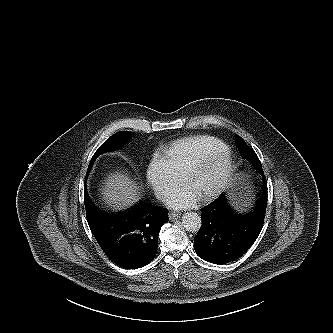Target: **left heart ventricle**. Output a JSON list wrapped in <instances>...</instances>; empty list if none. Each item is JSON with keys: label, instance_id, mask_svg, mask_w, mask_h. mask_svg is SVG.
Masks as SVG:
<instances>
[{"label": "left heart ventricle", "instance_id": "1", "mask_svg": "<svg viewBox=\"0 0 333 333\" xmlns=\"http://www.w3.org/2000/svg\"><path fill=\"white\" fill-rule=\"evenodd\" d=\"M223 172V162L215 161L196 175L187 185L198 196L209 191L219 181Z\"/></svg>", "mask_w": 333, "mask_h": 333}]
</instances>
